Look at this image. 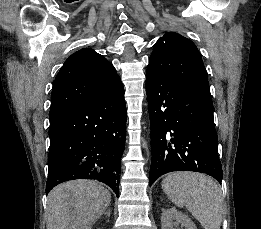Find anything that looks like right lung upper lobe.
<instances>
[{"instance_id":"1","label":"right lung upper lobe","mask_w":261,"mask_h":229,"mask_svg":"<svg viewBox=\"0 0 261 229\" xmlns=\"http://www.w3.org/2000/svg\"><path fill=\"white\" fill-rule=\"evenodd\" d=\"M119 79L115 68L90 48L72 54L56 76L50 108V123L95 97Z\"/></svg>"}]
</instances>
